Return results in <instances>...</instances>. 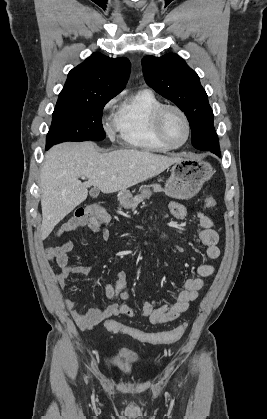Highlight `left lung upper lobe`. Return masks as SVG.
<instances>
[{"mask_svg": "<svg viewBox=\"0 0 267 419\" xmlns=\"http://www.w3.org/2000/svg\"><path fill=\"white\" fill-rule=\"evenodd\" d=\"M142 70L146 83L186 114L192 129L193 147L213 153L219 150L213 111L196 72L176 54L159 58L145 56Z\"/></svg>", "mask_w": 267, "mask_h": 419, "instance_id": "5c2ea615", "label": "left lung upper lobe"}]
</instances>
